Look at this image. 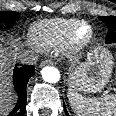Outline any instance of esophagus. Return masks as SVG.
Returning a JSON list of instances; mask_svg holds the SVG:
<instances>
[{"label":"esophagus","mask_w":116,"mask_h":116,"mask_svg":"<svg viewBox=\"0 0 116 116\" xmlns=\"http://www.w3.org/2000/svg\"><path fill=\"white\" fill-rule=\"evenodd\" d=\"M53 64H54V62H53L52 60L48 59V60L43 61V62L40 64V67H43V66H45V65H53Z\"/></svg>","instance_id":"34e87169"}]
</instances>
